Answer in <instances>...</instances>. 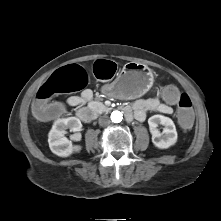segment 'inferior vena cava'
<instances>
[{
    "mask_svg": "<svg viewBox=\"0 0 221 221\" xmlns=\"http://www.w3.org/2000/svg\"><path fill=\"white\" fill-rule=\"evenodd\" d=\"M98 121H99V125L103 127L108 126L111 122L109 117L106 115L101 116Z\"/></svg>",
    "mask_w": 221,
    "mask_h": 221,
    "instance_id": "602c4592",
    "label": "inferior vena cava"
}]
</instances>
